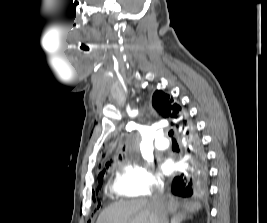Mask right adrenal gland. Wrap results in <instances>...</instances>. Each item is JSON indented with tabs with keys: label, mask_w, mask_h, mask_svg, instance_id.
<instances>
[{
	"label": "right adrenal gland",
	"mask_w": 267,
	"mask_h": 223,
	"mask_svg": "<svg viewBox=\"0 0 267 223\" xmlns=\"http://www.w3.org/2000/svg\"><path fill=\"white\" fill-rule=\"evenodd\" d=\"M192 217L185 213V212H181L177 215H174L171 219V223H182L183 221L187 220V219H191Z\"/></svg>",
	"instance_id": "2a0ac1e0"
}]
</instances>
